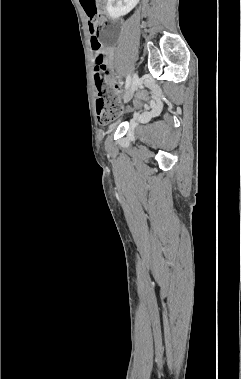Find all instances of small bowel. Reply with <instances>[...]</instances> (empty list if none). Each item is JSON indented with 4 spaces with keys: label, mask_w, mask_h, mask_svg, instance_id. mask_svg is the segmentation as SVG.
Listing matches in <instances>:
<instances>
[{
    "label": "small bowel",
    "mask_w": 241,
    "mask_h": 379,
    "mask_svg": "<svg viewBox=\"0 0 241 379\" xmlns=\"http://www.w3.org/2000/svg\"><path fill=\"white\" fill-rule=\"evenodd\" d=\"M107 81L112 84V86L114 87V89L119 92L120 91V83L119 82H116V81H113L111 78H108ZM146 98V93L145 92H141L138 94L137 96V100L134 104V106H138L139 105V101L141 99H145ZM161 104H159V107H160Z\"/></svg>",
    "instance_id": "small-bowel-1"
}]
</instances>
